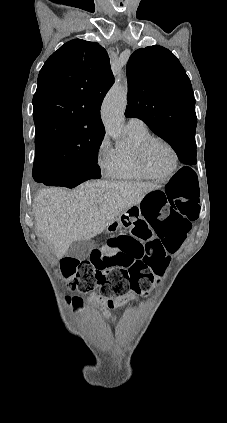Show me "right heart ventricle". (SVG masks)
Returning <instances> with one entry per match:
<instances>
[{
	"instance_id": "e07e8e85",
	"label": "right heart ventricle",
	"mask_w": 227,
	"mask_h": 423,
	"mask_svg": "<svg viewBox=\"0 0 227 423\" xmlns=\"http://www.w3.org/2000/svg\"><path fill=\"white\" fill-rule=\"evenodd\" d=\"M148 137H150V133L147 129L128 130L130 146L115 150L117 160L115 178L126 180H141L145 178L136 167L135 150Z\"/></svg>"
}]
</instances>
